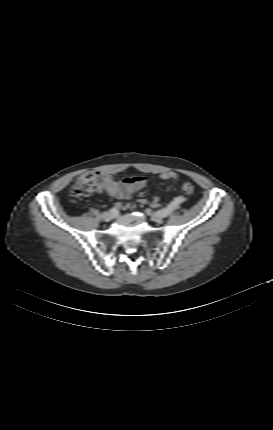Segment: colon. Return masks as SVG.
<instances>
[{"label":"colon","mask_w":273,"mask_h":430,"mask_svg":"<svg viewBox=\"0 0 273 430\" xmlns=\"http://www.w3.org/2000/svg\"><path fill=\"white\" fill-rule=\"evenodd\" d=\"M98 189V175L94 172H86L80 175L71 188L72 195L76 197H86ZM183 192L191 195L194 192V186L191 183L183 185Z\"/></svg>","instance_id":"1"}]
</instances>
